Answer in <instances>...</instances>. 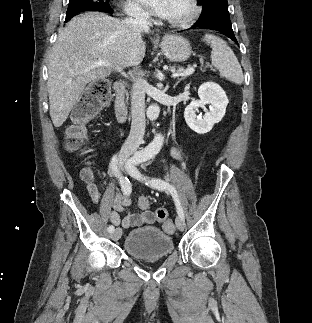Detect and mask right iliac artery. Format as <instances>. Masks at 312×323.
I'll return each instance as SVG.
<instances>
[{
  "label": "right iliac artery",
  "instance_id": "obj_1",
  "mask_svg": "<svg viewBox=\"0 0 312 323\" xmlns=\"http://www.w3.org/2000/svg\"><path fill=\"white\" fill-rule=\"evenodd\" d=\"M139 158H131L128 162H127V165H126V167L129 169V170H133L134 168H135V165L136 164H139V163H137V160H138ZM117 162H118V160H117V157H113V159H112V169L115 171V172H118V170H117ZM119 179H120V185H121V189H122V191H123V194L125 195V196H129L130 195V193H131V190H132V188H131V183H130V181H129V179L127 178V177H119ZM114 231V226L113 225H110L109 227H108V232L109 233H112Z\"/></svg>",
  "mask_w": 312,
  "mask_h": 323
}]
</instances>
